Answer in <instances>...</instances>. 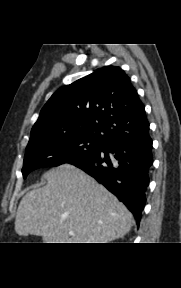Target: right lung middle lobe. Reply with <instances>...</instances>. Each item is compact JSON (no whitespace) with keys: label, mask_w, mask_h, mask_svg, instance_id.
I'll return each instance as SVG.
<instances>
[{"label":"right lung middle lobe","mask_w":181,"mask_h":288,"mask_svg":"<svg viewBox=\"0 0 181 288\" xmlns=\"http://www.w3.org/2000/svg\"><path fill=\"white\" fill-rule=\"evenodd\" d=\"M104 143L95 137L80 134H54L29 141L23 177L40 167L73 163L102 150Z\"/></svg>","instance_id":"obj_1"}]
</instances>
